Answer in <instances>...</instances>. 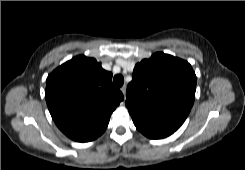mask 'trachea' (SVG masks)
I'll return each mask as SVG.
<instances>
[{
    "instance_id": "obj_1",
    "label": "trachea",
    "mask_w": 245,
    "mask_h": 170,
    "mask_svg": "<svg viewBox=\"0 0 245 170\" xmlns=\"http://www.w3.org/2000/svg\"><path fill=\"white\" fill-rule=\"evenodd\" d=\"M113 82L116 87H121L124 83V77L120 74L115 75V77L113 78Z\"/></svg>"
}]
</instances>
